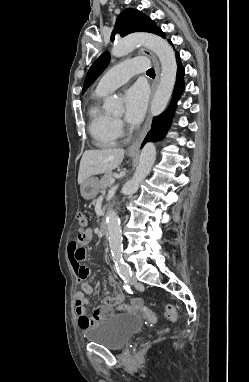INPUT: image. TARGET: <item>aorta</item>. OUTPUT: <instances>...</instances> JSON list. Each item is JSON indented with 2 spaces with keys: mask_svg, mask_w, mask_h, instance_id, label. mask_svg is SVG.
<instances>
[{
  "mask_svg": "<svg viewBox=\"0 0 249 382\" xmlns=\"http://www.w3.org/2000/svg\"><path fill=\"white\" fill-rule=\"evenodd\" d=\"M137 45H143L153 51L161 63L160 82L151 102V113L153 116H158L164 111L175 85L177 74L175 53L163 38L150 33H139L118 40L112 47L111 54L114 57H123L133 51ZM119 104L116 97H110L105 103V108L114 111L119 107ZM155 159V145L148 142L141 151L139 164L133 177L122 187L121 192L124 195H131L138 190L140 183L150 173ZM106 222L111 253L120 257L122 253V235L120 220L115 211H108Z\"/></svg>",
  "mask_w": 249,
  "mask_h": 382,
  "instance_id": "762f6f07",
  "label": "aorta"
}]
</instances>
